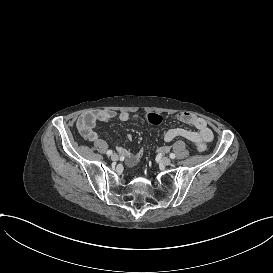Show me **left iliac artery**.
Instances as JSON below:
<instances>
[{"mask_svg":"<svg viewBox=\"0 0 273 273\" xmlns=\"http://www.w3.org/2000/svg\"><path fill=\"white\" fill-rule=\"evenodd\" d=\"M169 156H170L171 159L175 158V154L174 153H171Z\"/></svg>","mask_w":273,"mask_h":273,"instance_id":"left-iliac-artery-1","label":"left iliac artery"}]
</instances>
